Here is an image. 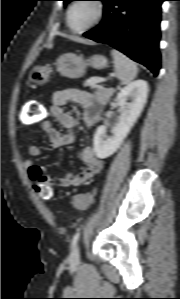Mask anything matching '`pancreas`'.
Here are the masks:
<instances>
[{
    "label": "pancreas",
    "instance_id": "obj_1",
    "mask_svg": "<svg viewBox=\"0 0 180 299\" xmlns=\"http://www.w3.org/2000/svg\"><path fill=\"white\" fill-rule=\"evenodd\" d=\"M112 94H113L112 89H106L103 87H99L98 91L96 92V98L98 101L104 103L109 100V98L111 97Z\"/></svg>",
    "mask_w": 180,
    "mask_h": 299
}]
</instances>
